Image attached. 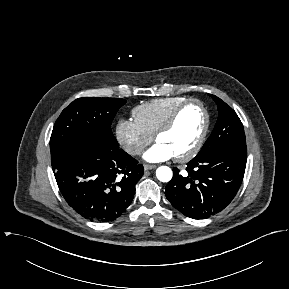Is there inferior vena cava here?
<instances>
[{
  "label": "inferior vena cava",
  "instance_id": "602c4592",
  "mask_svg": "<svg viewBox=\"0 0 289 289\" xmlns=\"http://www.w3.org/2000/svg\"><path fill=\"white\" fill-rule=\"evenodd\" d=\"M127 152L131 155H140L143 152V148L137 146H130L127 148Z\"/></svg>",
  "mask_w": 289,
  "mask_h": 289
}]
</instances>
